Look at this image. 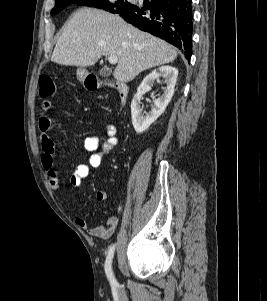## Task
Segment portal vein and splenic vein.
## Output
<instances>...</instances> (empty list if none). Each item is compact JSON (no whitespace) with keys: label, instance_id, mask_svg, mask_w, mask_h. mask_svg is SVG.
Masks as SVG:
<instances>
[{"label":"portal vein and splenic vein","instance_id":"portal-vein-and-splenic-vein-1","mask_svg":"<svg viewBox=\"0 0 267 301\" xmlns=\"http://www.w3.org/2000/svg\"><path fill=\"white\" fill-rule=\"evenodd\" d=\"M108 61L110 64H116L118 59L116 56H110V57H108Z\"/></svg>","mask_w":267,"mask_h":301}]
</instances>
